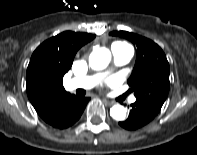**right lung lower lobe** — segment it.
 I'll list each match as a JSON object with an SVG mask.
<instances>
[{"label": "right lung lower lobe", "mask_w": 197, "mask_h": 155, "mask_svg": "<svg viewBox=\"0 0 197 155\" xmlns=\"http://www.w3.org/2000/svg\"><path fill=\"white\" fill-rule=\"evenodd\" d=\"M88 101L89 98L72 95L48 124L59 129L68 128L80 118Z\"/></svg>", "instance_id": "obj_1"}]
</instances>
